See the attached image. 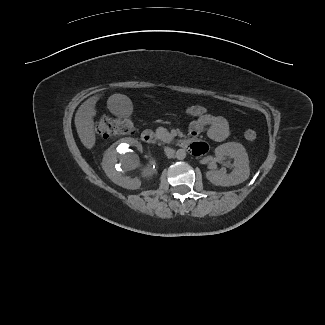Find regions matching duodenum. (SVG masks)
Wrapping results in <instances>:
<instances>
[{"mask_svg": "<svg viewBox=\"0 0 325 325\" xmlns=\"http://www.w3.org/2000/svg\"><path fill=\"white\" fill-rule=\"evenodd\" d=\"M141 140L146 144H152L155 141V135L152 130L146 129L141 133ZM179 145L183 148L190 147L188 140H180Z\"/></svg>", "mask_w": 325, "mask_h": 325, "instance_id": "duodenum-1", "label": "duodenum"}]
</instances>
